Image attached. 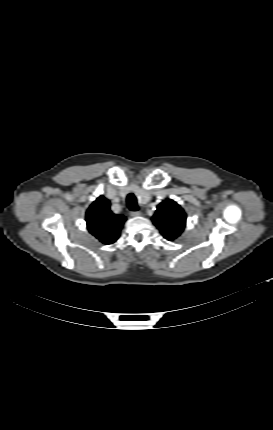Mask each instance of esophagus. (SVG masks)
<instances>
[{
	"label": "esophagus",
	"instance_id": "esophagus-1",
	"mask_svg": "<svg viewBox=\"0 0 273 430\" xmlns=\"http://www.w3.org/2000/svg\"><path fill=\"white\" fill-rule=\"evenodd\" d=\"M129 214H130V216H132V217H136V216H140V215H141V212H140V211H131Z\"/></svg>",
	"mask_w": 273,
	"mask_h": 430
}]
</instances>
